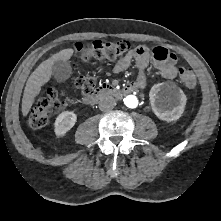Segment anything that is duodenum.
<instances>
[{
    "mask_svg": "<svg viewBox=\"0 0 221 221\" xmlns=\"http://www.w3.org/2000/svg\"><path fill=\"white\" fill-rule=\"evenodd\" d=\"M136 90L134 85H128L124 89H118L110 84H102L98 86L92 93L84 97L86 104H94L105 97L120 98L123 95L132 93Z\"/></svg>",
    "mask_w": 221,
    "mask_h": 221,
    "instance_id": "410a0bca",
    "label": "duodenum"
}]
</instances>
